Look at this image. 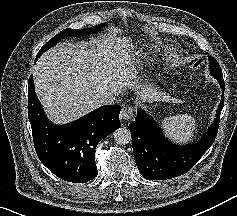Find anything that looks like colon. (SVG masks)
I'll list each match as a JSON object with an SVG mask.
<instances>
[{
  "label": "colon",
  "instance_id": "5ec220e1",
  "mask_svg": "<svg viewBox=\"0 0 237 216\" xmlns=\"http://www.w3.org/2000/svg\"><path fill=\"white\" fill-rule=\"evenodd\" d=\"M200 62L197 63V66H199Z\"/></svg>",
  "mask_w": 237,
  "mask_h": 216
}]
</instances>
